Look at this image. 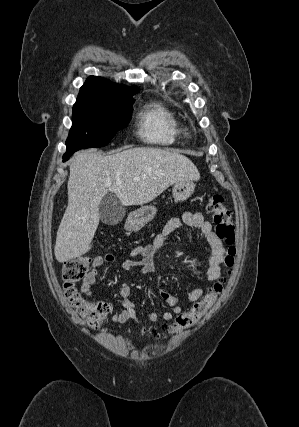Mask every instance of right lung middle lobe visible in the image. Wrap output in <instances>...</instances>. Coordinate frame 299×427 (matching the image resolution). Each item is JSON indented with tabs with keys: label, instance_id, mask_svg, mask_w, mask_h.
<instances>
[{
	"label": "right lung middle lobe",
	"instance_id": "dd1d6c3e",
	"mask_svg": "<svg viewBox=\"0 0 299 427\" xmlns=\"http://www.w3.org/2000/svg\"><path fill=\"white\" fill-rule=\"evenodd\" d=\"M134 99L77 101L73 106L72 127L66 153L105 146L114 134L127 126Z\"/></svg>",
	"mask_w": 299,
	"mask_h": 427
}]
</instances>
